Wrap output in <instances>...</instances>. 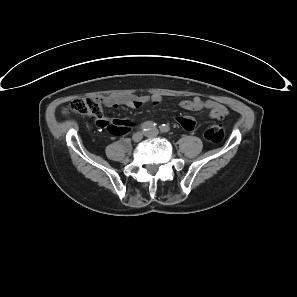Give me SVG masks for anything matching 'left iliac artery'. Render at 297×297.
Instances as JSON below:
<instances>
[{
	"instance_id": "1",
	"label": "left iliac artery",
	"mask_w": 297,
	"mask_h": 297,
	"mask_svg": "<svg viewBox=\"0 0 297 297\" xmlns=\"http://www.w3.org/2000/svg\"><path fill=\"white\" fill-rule=\"evenodd\" d=\"M160 131L165 133V132H168L169 131V127L165 124H163L161 127H160Z\"/></svg>"
}]
</instances>
